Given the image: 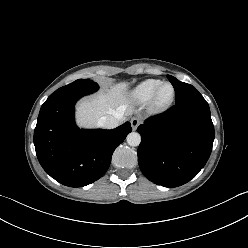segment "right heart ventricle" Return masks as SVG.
<instances>
[{"label":"right heart ventricle","instance_id":"obj_1","mask_svg":"<svg viewBox=\"0 0 248 248\" xmlns=\"http://www.w3.org/2000/svg\"><path fill=\"white\" fill-rule=\"evenodd\" d=\"M161 83L162 81L159 79H146L140 82L129 92V100L137 104L150 101L155 90Z\"/></svg>","mask_w":248,"mask_h":248}]
</instances>
